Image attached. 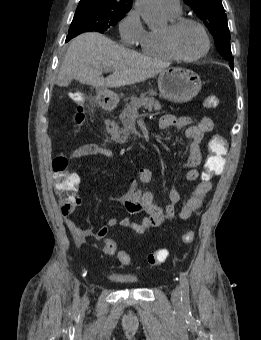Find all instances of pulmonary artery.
Here are the masks:
<instances>
[{
	"mask_svg": "<svg viewBox=\"0 0 261 340\" xmlns=\"http://www.w3.org/2000/svg\"><path fill=\"white\" fill-rule=\"evenodd\" d=\"M160 4L166 13L178 15L181 12L180 0H160Z\"/></svg>",
	"mask_w": 261,
	"mask_h": 340,
	"instance_id": "e3ab8cb5",
	"label": "pulmonary artery"
}]
</instances>
